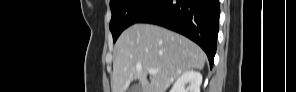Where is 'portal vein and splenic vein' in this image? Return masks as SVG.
<instances>
[{"label":"portal vein and splenic vein","instance_id":"1","mask_svg":"<svg viewBox=\"0 0 296 92\" xmlns=\"http://www.w3.org/2000/svg\"><path fill=\"white\" fill-rule=\"evenodd\" d=\"M148 73H149V74H156L157 71H156L155 69H149V70H148Z\"/></svg>","mask_w":296,"mask_h":92}]
</instances>
